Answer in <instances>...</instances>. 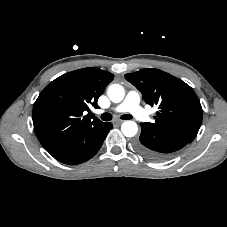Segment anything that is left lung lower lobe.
Here are the masks:
<instances>
[{"label":"left lung lower lobe","instance_id":"0a47b994","mask_svg":"<svg viewBox=\"0 0 227 227\" xmlns=\"http://www.w3.org/2000/svg\"><path fill=\"white\" fill-rule=\"evenodd\" d=\"M141 134L134 143L135 149L145 158L153 161H164L184 147L187 139L159 130H153L141 123Z\"/></svg>","mask_w":227,"mask_h":227}]
</instances>
